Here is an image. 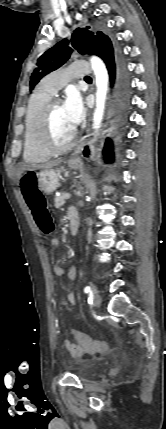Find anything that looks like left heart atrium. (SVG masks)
I'll return each mask as SVG.
<instances>
[{
    "instance_id": "left-heart-atrium-1",
    "label": "left heart atrium",
    "mask_w": 166,
    "mask_h": 429,
    "mask_svg": "<svg viewBox=\"0 0 166 429\" xmlns=\"http://www.w3.org/2000/svg\"><path fill=\"white\" fill-rule=\"evenodd\" d=\"M68 120L73 127L77 126L83 119L84 107L80 94L72 91L63 103Z\"/></svg>"
}]
</instances>
